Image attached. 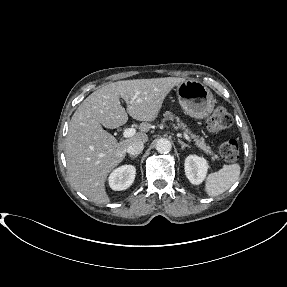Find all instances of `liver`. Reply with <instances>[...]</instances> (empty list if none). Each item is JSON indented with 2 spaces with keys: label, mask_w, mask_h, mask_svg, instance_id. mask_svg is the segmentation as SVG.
I'll return each instance as SVG.
<instances>
[{
  "label": "liver",
  "mask_w": 287,
  "mask_h": 287,
  "mask_svg": "<svg viewBox=\"0 0 287 287\" xmlns=\"http://www.w3.org/2000/svg\"><path fill=\"white\" fill-rule=\"evenodd\" d=\"M184 81L176 77L124 80L90 94L73 114L66 137L71 185L98 205L109 203L107 176L125 158L131 142H147L150 122L158 117L168 93ZM120 97L127 103V112ZM127 113L142 123L134 136L118 142L103 127L115 129L126 124Z\"/></svg>",
  "instance_id": "liver-1"
}]
</instances>
